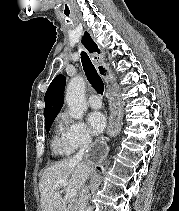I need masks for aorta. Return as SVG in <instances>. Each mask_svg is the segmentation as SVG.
I'll list each match as a JSON object with an SVG mask.
<instances>
[{
    "label": "aorta",
    "mask_w": 179,
    "mask_h": 211,
    "mask_svg": "<svg viewBox=\"0 0 179 211\" xmlns=\"http://www.w3.org/2000/svg\"><path fill=\"white\" fill-rule=\"evenodd\" d=\"M65 99L69 107L70 116L74 119L81 118L86 110L85 81L82 77L76 76L70 80Z\"/></svg>",
    "instance_id": "762f6f07"
}]
</instances>
